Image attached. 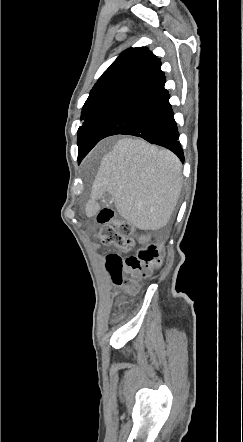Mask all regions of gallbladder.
I'll return each mask as SVG.
<instances>
[{
    "label": "gallbladder",
    "instance_id": "1",
    "mask_svg": "<svg viewBox=\"0 0 243 442\" xmlns=\"http://www.w3.org/2000/svg\"><path fill=\"white\" fill-rule=\"evenodd\" d=\"M101 203L103 206L105 207H111L112 203H113V197L111 194L109 193H105L101 199Z\"/></svg>",
    "mask_w": 243,
    "mask_h": 442
}]
</instances>
